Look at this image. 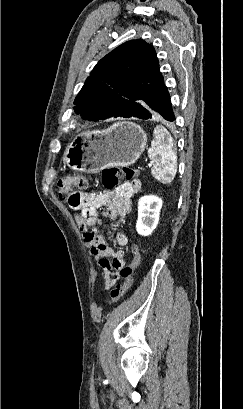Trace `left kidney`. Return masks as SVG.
Returning a JSON list of instances; mask_svg holds the SVG:
<instances>
[{
  "mask_svg": "<svg viewBox=\"0 0 243 409\" xmlns=\"http://www.w3.org/2000/svg\"><path fill=\"white\" fill-rule=\"evenodd\" d=\"M162 200L157 196H143L138 201L136 230L142 236L150 235L159 222Z\"/></svg>",
  "mask_w": 243,
  "mask_h": 409,
  "instance_id": "left-kidney-1",
  "label": "left kidney"
}]
</instances>
